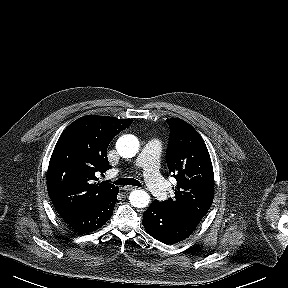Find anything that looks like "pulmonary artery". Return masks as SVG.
<instances>
[{
	"label": "pulmonary artery",
	"mask_w": 288,
	"mask_h": 288,
	"mask_svg": "<svg viewBox=\"0 0 288 288\" xmlns=\"http://www.w3.org/2000/svg\"><path fill=\"white\" fill-rule=\"evenodd\" d=\"M161 144L158 140L149 141L141 150L136 165L144 172L145 183L150 192L157 198L167 195V184L159 173V156Z\"/></svg>",
	"instance_id": "obj_1"
}]
</instances>
